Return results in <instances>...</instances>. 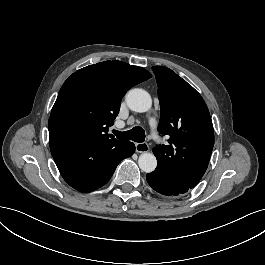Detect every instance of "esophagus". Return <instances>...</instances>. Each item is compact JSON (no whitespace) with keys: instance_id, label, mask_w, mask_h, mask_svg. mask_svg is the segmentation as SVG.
<instances>
[{"instance_id":"esophagus-1","label":"esophagus","mask_w":265,"mask_h":265,"mask_svg":"<svg viewBox=\"0 0 265 265\" xmlns=\"http://www.w3.org/2000/svg\"><path fill=\"white\" fill-rule=\"evenodd\" d=\"M135 150L136 152L143 153L149 151V145L146 142L143 143H136L135 144Z\"/></svg>"}]
</instances>
